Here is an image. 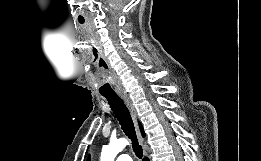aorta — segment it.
Here are the masks:
<instances>
[{"mask_svg":"<svg viewBox=\"0 0 261 161\" xmlns=\"http://www.w3.org/2000/svg\"><path fill=\"white\" fill-rule=\"evenodd\" d=\"M128 141L124 138L112 140L108 145H104L101 152L100 161H114L115 157L121 152Z\"/></svg>","mask_w":261,"mask_h":161,"instance_id":"obj_1","label":"aorta"}]
</instances>
